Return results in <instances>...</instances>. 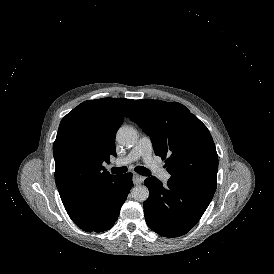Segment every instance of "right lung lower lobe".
<instances>
[{
  "label": "right lung lower lobe",
  "instance_id": "obj_1",
  "mask_svg": "<svg viewBox=\"0 0 274 274\" xmlns=\"http://www.w3.org/2000/svg\"><path fill=\"white\" fill-rule=\"evenodd\" d=\"M132 173L101 182L82 200L65 207L74 223L87 232L110 229L132 187Z\"/></svg>",
  "mask_w": 274,
  "mask_h": 274
}]
</instances>
